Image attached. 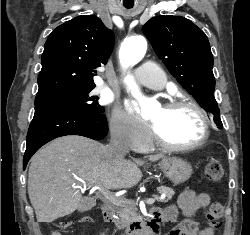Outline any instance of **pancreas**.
<instances>
[{"label":"pancreas","instance_id":"pancreas-1","mask_svg":"<svg viewBox=\"0 0 250 235\" xmlns=\"http://www.w3.org/2000/svg\"><path fill=\"white\" fill-rule=\"evenodd\" d=\"M160 194H165L166 198L162 200V202H168L172 196L175 194V191L172 188H168L165 186H161L158 189ZM113 206L117 209V214L119 215L122 223H132L135 221H139L141 218L137 213L136 203L133 201L116 199L114 201Z\"/></svg>","mask_w":250,"mask_h":235}]
</instances>
